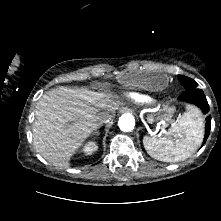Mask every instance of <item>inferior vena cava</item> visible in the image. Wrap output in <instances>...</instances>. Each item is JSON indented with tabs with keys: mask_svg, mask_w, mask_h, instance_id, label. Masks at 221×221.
I'll use <instances>...</instances> for the list:
<instances>
[{
	"mask_svg": "<svg viewBox=\"0 0 221 221\" xmlns=\"http://www.w3.org/2000/svg\"><path fill=\"white\" fill-rule=\"evenodd\" d=\"M99 125H102L104 123H107L111 120V116L106 113H102L100 116L97 118Z\"/></svg>",
	"mask_w": 221,
	"mask_h": 221,
	"instance_id": "obj_1",
	"label": "inferior vena cava"
}]
</instances>
